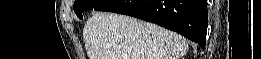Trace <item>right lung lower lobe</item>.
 Instances as JSON below:
<instances>
[{"label": "right lung lower lobe", "instance_id": "1", "mask_svg": "<svg viewBox=\"0 0 261 59\" xmlns=\"http://www.w3.org/2000/svg\"><path fill=\"white\" fill-rule=\"evenodd\" d=\"M94 10L149 21L205 47L208 26L206 0H106Z\"/></svg>", "mask_w": 261, "mask_h": 59}]
</instances>
